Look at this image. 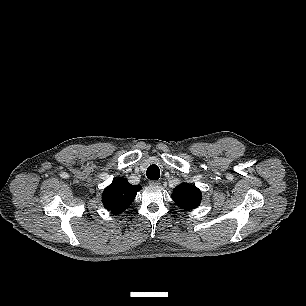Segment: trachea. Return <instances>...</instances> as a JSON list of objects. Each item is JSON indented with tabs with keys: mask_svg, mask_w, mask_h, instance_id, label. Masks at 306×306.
Segmentation results:
<instances>
[{
	"mask_svg": "<svg viewBox=\"0 0 306 306\" xmlns=\"http://www.w3.org/2000/svg\"><path fill=\"white\" fill-rule=\"evenodd\" d=\"M146 174L150 180H158L160 177V170L157 165H151L148 167Z\"/></svg>",
	"mask_w": 306,
	"mask_h": 306,
	"instance_id": "3493384b",
	"label": "trachea"
}]
</instances>
